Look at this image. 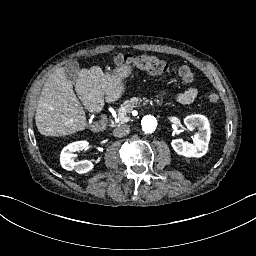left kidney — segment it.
<instances>
[{"label": "left kidney", "instance_id": "1", "mask_svg": "<svg viewBox=\"0 0 256 256\" xmlns=\"http://www.w3.org/2000/svg\"><path fill=\"white\" fill-rule=\"evenodd\" d=\"M184 124L190 131L198 128V132L193 138V144L183 139H174L171 142L173 149L177 154L185 157H202L208 151L211 134L207 117L200 114L189 115L184 119Z\"/></svg>", "mask_w": 256, "mask_h": 256}]
</instances>
